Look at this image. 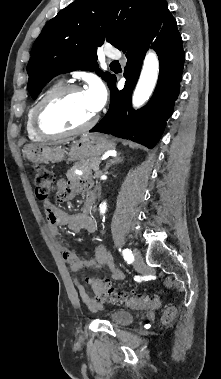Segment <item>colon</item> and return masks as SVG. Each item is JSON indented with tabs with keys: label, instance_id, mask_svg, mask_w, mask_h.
<instances>
[{
	"label": "colon",
	"instance_id": "colon-1",
	"mask_svg": "<svg viewBox=\"0 0 221 379\" xmlns=\"http://www.w3.org/2000/svg\"><path fill=\"white\" fill-rule=\"evenodd\" d=\"M55 177L52 171L45 166L36 165L34 167V183L37 198L44 205L49 202L50 195L53 192ZM89 284L100 302H111L126 304L132 308H153L160 304V300L155 295L141 294L135 296H125L114 291L108 283H104L99 278L88 279ZM176 310L173 307L168 308L163 314V321L170 322L175 316Z\"/></svg>",
	"mask_w": 221,
	"mask_h": 379
}]
</instances>
